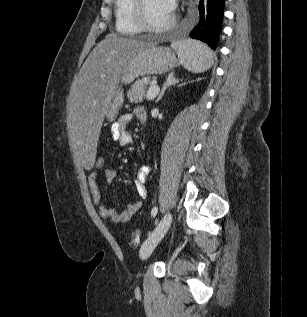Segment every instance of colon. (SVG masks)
Instances as JSON below:
<instances>
[{"instance_id": "colon-1", "label": "colon", "mask_w": 307, "mask_h": 317, "mask_svg": "<svg viewBox=\"0 0 307 317\" xmlns=\"http://www.w3.org/2000/svg\"><path fill=\"white\" fill-rule=\"evenodd\" d=\"M105 165V160L102 156H98L95 159V164L94 167L95 169H102ZM140 239V231L139 230H135L132 234H131V243L132 244H137L139 242Z\"/></svg>"}]
</instances>
